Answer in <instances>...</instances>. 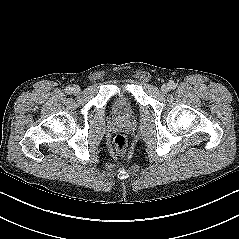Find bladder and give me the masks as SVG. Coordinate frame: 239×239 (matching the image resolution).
<instances>
[{
    "label": "bladder",
    "instance_id": "1",
    "mask_svg": "<svg viewBox=\"0 0 239 239\" xmlns=\"http://www.w3.org/2000/svg\"><path fill=\"white\" fill-rule=\"evenodd\" d=\"M114 112L116 115L124 118L132 116L134 107L126 98H119L114 104Z\"/></svg>",
    "mask_w": 239,
    "mask_h": 239
}]
</instances>
